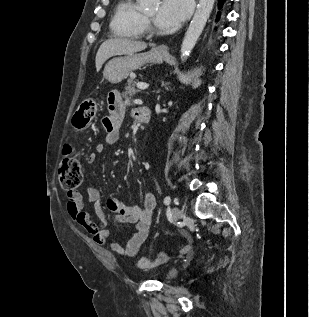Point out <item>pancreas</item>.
I'll return each instance as SVG.
<instances>
[{"instance_id": "cf45deb5", "label": "pancreas", "mask_w": 309, "mask_h": 317, "mask_svg": "<svg viewBox=\"0 0 309 317\" xmlns=\"http://www.w3.org/2000/svg\"><path fill=\"white\" fill-rule=\"evenodd\" d=\"M137 83L134 80V77L128 79L127 85L125 86V91L122 93L123 97H127L128 95L132 96L138 93L140 90L136 87Z\"/></svg>"}]
</instances>
